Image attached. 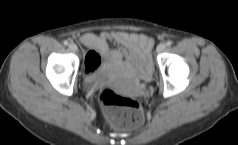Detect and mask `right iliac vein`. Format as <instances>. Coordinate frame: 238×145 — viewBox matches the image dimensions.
<instances>
[{
    "mask_svg": "<svg viewBox=\"0 0 238 145\" xmlns=\"http://www.w3.org/2000/svg\"><path fill=\"white\" fill-rule=\"evenodd\" d=\"M69 49L73 52H76L77 51V45L75 43H70L69 44Z\"/></svg>",
    "mask_w": 238,
    "mask_h": 145,
    "instance_id": "63e3f726",
    "label": "right iliac vein"
}]
</instances>
